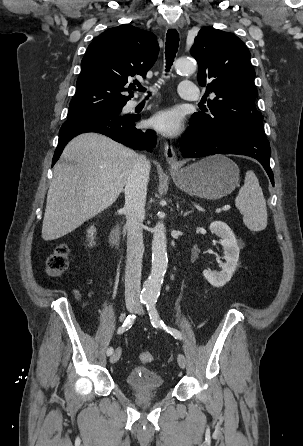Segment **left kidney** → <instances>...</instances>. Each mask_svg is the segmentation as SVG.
<instances>
[{"label": "left kidney", "instance_id": "obj_1", "mask_svg": "<svg viewBox=\"0 0 303 446\" xmlns=\"http://www.w3.org/2000/svg\"><path fill=\"white\" fill-rule=\"evenodd\" d=\"M213 234L220 237V243L224 250V259L226 263L222 266V271L204 270L203 275L206 280L214 287H222L230 281L236 270L239 259L240 247L230 227L221 221H214L210 225Z\"/></svg>", "mask_w": 303, "mask_h": 446}]
</instances>
